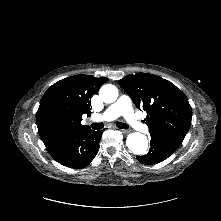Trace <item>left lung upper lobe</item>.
<instances>
[{
    "label": "left lung upper lobe",
    "instance_id": "left-lung-upper-lobe-1",
    "mask_svg": "<svg viewBox=\"0 0 221 221\" xmlns=\"http://www.w3.org/2000/svg\"><path fill=\"white\" fill-rule=\"evenodd\" d=\"M136 107L147 113L150 135H158L179 145L191 125L192 108L185 94L174 84L147 73L119 80Z\"/></svg>",
    "mask_w": 221,
    "mask_h": 221
}]
</instances>
